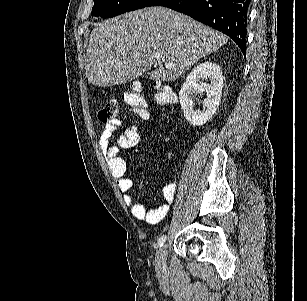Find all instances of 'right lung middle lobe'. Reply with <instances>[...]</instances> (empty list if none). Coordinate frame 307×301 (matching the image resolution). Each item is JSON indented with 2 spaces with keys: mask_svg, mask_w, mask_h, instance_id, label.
Returning a JSON list of instances; mask_svg holds the SVG:
<instances>
[{
  "mask_svg": "<svg viewBox=\"0 0 307 301\" xmlns=\"http://www.w3.org/2000/svg\"><path fill=\"white\" fill-rule=\"evenodd\" d=\"M151 0H94L92 16L110 18L145 7Z\"/></svg>",
  "mask_w": 307,
  "mask_h": 301,
  "instance_id": "1",
  "label": "right lung middle lobe"
}]
</instances>
